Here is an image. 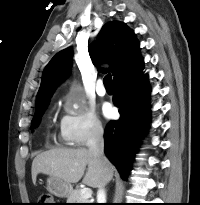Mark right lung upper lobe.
Returning <instances> with one entry per match:
<instances>
[{"label":"right lung upper lobe","instance_id":"right-lung-upper-lobe-1","mask_svg":"<svg viewBox=\"0 0 200 205\" xmlns=\"http://www.w3.org/2000/svg\"><path fill=\"white\" fill-rule=\"evenodd\" d=\"M139 50V43L134 32L119 21H110L103 25L97 40L88 46L94 64L105 62L112 66L111 69H103V71L112 72L113 82L124 76L142 60ZM72 55L71 48L64 49L47 64L42 75L36 105L50 99L56 87L68 75Z\"/></svg>","mask_w":200,"mask_h":205}]
</instances>
